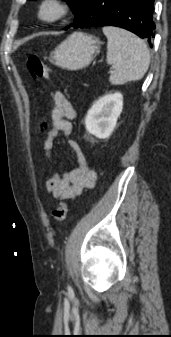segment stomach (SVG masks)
Masks as SVG:
<instances>
[{"label": "stomach", "instance_id": "0dacf381", "mask_svg": "<svg viewBox=\"0 0 171 337\" xmlns=\"http://www.w3.org/2000/svg\"><path fill=\"white\" fill-rule=\"evenodd\" d=\"M100 52L98 38L75 32L51 53V62L67 70H80L87 67Z\"/></svg>", "mask_w": 171, "mask_h": 337}]
</instances>
